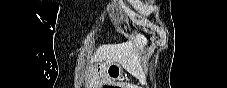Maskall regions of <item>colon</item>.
<instances>
[{
  "label": "colon",
  "instance_id": "1",
  "mask_svg": "<svg viewBox=\"0 0 227 88\" xmlns=\"http://www.w3.org/2000/svg\"><path fill=\"white\" fill-rule=\"evenodd\" d=\"M103 87H105V88H115L116 86L111 85V84H107V85H105V86H103ZM124 87L131 88L132 86L129 85V84H127V85H125Z\"/></svg>",
  "mask_w": 227,
  "mask_h": 88
}]
</instances>
